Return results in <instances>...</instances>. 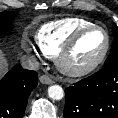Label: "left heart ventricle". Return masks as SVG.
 <instances>
[{
  "label": "left heart ventricle",
  "instance_id": "1",
  "mask_svg": "<svg viewBox=\"0 0 118 118\" xmlns=\"http://www.w3.org/2000/svg\"><path fill=\"white\" fill-rule=\"evenodd\" d=\"M106 38L102 31L94 30L82 37L70 57L68 65L80 68L93 63L103 52Z\"/></svg>",
  "mask_w": 118,
  "mask_h": 118
}]
</instances>
